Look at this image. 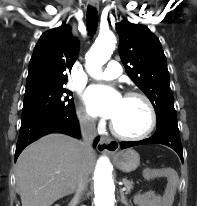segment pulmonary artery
I'll use <instances>...</instances> for the list:
<instances>
[{
  "mask_svg": "<svg viewBox=\"0 0 197 206\" xmlns=\"http://www.w3.org/2000/svg\"><path fill=\"white\" fill-rule=\"evenodd\" d=\"M122 73V67L119 62L111 60L107 64V68L98 75V78L110 80L118 77Z\"/></svg>",
  "mask_w": 197,
  "mask_h": 206,
  "instance_id": "e3ab8cb5",
  "label": "pulmonary artery"
}]
</instances>
